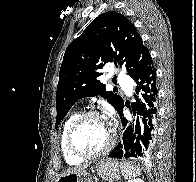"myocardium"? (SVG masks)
<instances>
[{
	"instance_id": "f54148a6",
	"label": "myocardium",
	"mask_w": 196,
	"mask_h": 182,
	"mask_svg": "<svg viewBox=\"0 0 196 182\" xmlns=\"http://www.w3.org/2000/svg\"><path fill=\"white\" fill-rule=\"evenodd\" d=\"M91 117H97L101 119H105L104 115L100 113L99 111L96 110H89L86 112H83L79 114L76 119L72 122V124L69 127V130L67 132V137H66V142H67V147L69 151L75 155L76 157L83 159V160H90V159H95L98 157H101L105 154H107L113 147L114 142H115V134L111 126H109V139L106 143V145L99 151L95 153H84L81 150H79L75 144H74V135L76 133V130L78 127L88 118Z\"/></svg>"
}]
</instances>
